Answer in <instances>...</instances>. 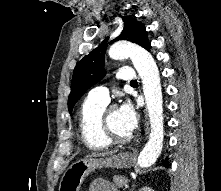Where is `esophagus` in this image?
Here are the masks:
<instances>
[{
    "label": "esophagus",
    "instance_id": "obj_1",
    "mask_svg": "<svg viewBox=\"0 0 221 191\" xmlns=\"http://www.w3.org/2000/svg\"><path fill=\"white\" fill-rule=\"evenodd\" d=\"M148 131H149V130H148V124H147L146 134H148Z\"/></svg>",
    "mask_w": 221,
    "mask_h": 191
}]
</instances>
